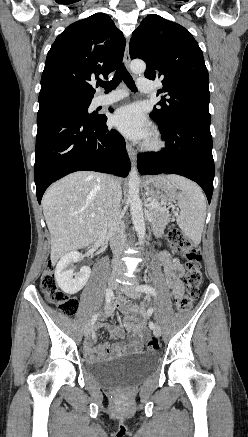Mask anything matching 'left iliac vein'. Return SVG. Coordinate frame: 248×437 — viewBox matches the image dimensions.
<instances>
[{
  "mask_svg": "<svg viewBox=\"0 0 248 437\" xmlns=\"http://www.w3.org/2000/svg\"><path fill=\"white\" fill-rule=\"evenodd\" d=\"M137 287L138 285L122 286L121 290L131 298H139L141 293L137 290ZM153 333L156 337H159L161 335L160 326L156 325L153 329Z\"/></svg>",
  "mask_w": 248,
  "mask_h": 437,
  "instance_id": "left-iliac-vein-1",
  "label": "left iliac vein"
}]
</instances>
